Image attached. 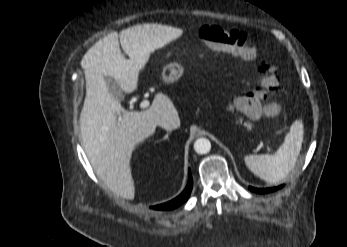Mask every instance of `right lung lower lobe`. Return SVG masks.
<instances>
[{"mask_svg": "<svg viewBox=\"0 0 347 247\" xmlns=\"http://www.w3.org/2000/svg\"><path fill=\"white\" fill-rule=\"evenodd\" d=\"M191 190H192V176H191V173L189 170V180H188V184H187L185 190L175 199H173L167 203L154 206L153 209H157V210L174 209V208L180 206L183 202H185L188 199V197L191 193Z\"/></svg>", "mask_w": 347, "mask_h": 247, "instance_id": "1", "label": "right lung lower lobe"}]
</instances>
